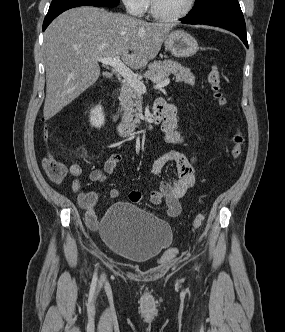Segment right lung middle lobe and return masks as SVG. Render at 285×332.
<instances>
[{
  "instance_id": "1",
  "label": "right lung middle lobe",
  "mask_w": 285,
  "mask_h": 332,
  "mask_svg": "<svg viewBox=\"0 0 285 332\" xmlns=\"http://www.w3.org/2000/svg\"><path fill=\"white\" fill-rule=\"evenodd\" d=\"M71 4H86L93 6H109L114 7L119 4V0H53L50 7H57Z\"/></svg>"
}]
</instances>
